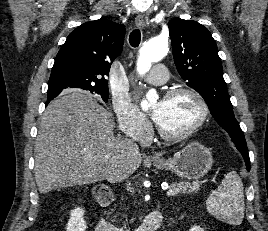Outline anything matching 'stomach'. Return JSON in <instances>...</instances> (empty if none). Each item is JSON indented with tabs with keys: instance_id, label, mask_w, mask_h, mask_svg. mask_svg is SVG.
I'll return each mask as SVG.
<instances>
[{
	"instance_id": "stomach-1",
	"label": "stomach",
	"mask_w": 268,
	"mask_h": 231,
	"mask_svg": "<svg viewBox=\"0 0 268 231\" xmlns=\"http://www.w3.org/2000/svg\"><path fill=\"white\" fill-rule=\"evenodd\" d=\"M212 154L198 142H192L177 152L173 158L154 161V165L177 176L194 180L203 177L212 167Z\"/></svg>"
}]
</instances>
